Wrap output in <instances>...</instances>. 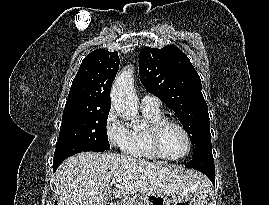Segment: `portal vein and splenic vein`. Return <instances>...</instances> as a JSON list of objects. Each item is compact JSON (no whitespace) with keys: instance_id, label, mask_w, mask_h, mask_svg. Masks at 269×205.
<instances>
[{"instance_id":"portal-vein-and-splenic-vein-1","label":"portal vein and splenic vein","mask_w":269,"mask_h":205,"mask_svg":"<svg viewBox=\"0 0 269 205\" xmlns=\"http://www.w3.org/2000/svg\"><path fill=\"white\" fill-rule=\"evenodd\" d=\"M122 178H114V179H112V181H111V183L112 184H117V183H120V182H122Z\"/></svg>"}]
</instances>
